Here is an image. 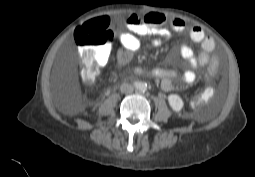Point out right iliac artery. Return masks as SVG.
Returning <instances> with one entry per match:
<instances>
[{
	"label": "right iliac artery",
	"instance_id": "right-iliac-artery-1",
	"mask_svg": "<svg viewBox=\"0 0 255 177\" xmlns=\"http://www.w3.org/2000/svg\"><path fill=\"white\" fill-rule=\"evenodd\" d=\"M134 86L138 88V87H140V86H141V83H140V82H138V81H135V82H134Z\"/></svg>",
	"mask_w": 255,
	"mask_h": 177
}]
</instances>
